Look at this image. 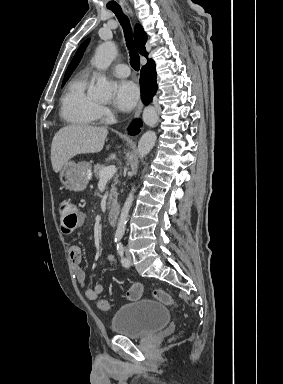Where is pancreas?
Masks as SVG:
<instances>
[{
    "instance_id": "pancreas-1",
    "label": "pancreas",
    "mask_w": 283,
    "mask_h": 384,
    "mask_svg": "<svg viewBox=\"0 0 283 384\" xmlns=\"http://www.w3.org/2000/svg\"><path fill=\"white\" fill-rule=\"evenodd\" d=\"M103 168H105V166H101V164H95L94 174L97 180H100V172L101 170H103ZM116 184H118L117 178H115L114 184H111V190H110L109 202H108L109 206H113L112 202H116L117 200L118 192H117V188H115Z\"/></svg>"
}]
</instances>
